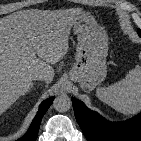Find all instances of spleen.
I'll return each mask as SVG.
<instances>
[{"instance_id": "3e777b00", "label": "spleen", "mask_w": 141, "mask_h": 141, "mask_svg": "<svg viewBox=\"0 0 141 141\" xmlns=\"http://www.w3.org/2000/svg\"><path fill=\"white\" fill-rule=\"evenodd\" d=\"M97 96L124 116L137 112L141 108V70L132 69L117 82L97 87Z\"/></svg>"}]
</instances>
